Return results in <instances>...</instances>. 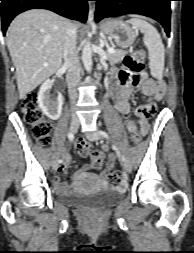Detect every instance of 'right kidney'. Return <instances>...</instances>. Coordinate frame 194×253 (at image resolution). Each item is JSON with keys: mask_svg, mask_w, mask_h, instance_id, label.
Here are the masks:
<instances>
[{"mask_svg": "<svg viewBox=\"0 0 194 253\" xmlns=\"http://www.w3.org/2000/svg\"><path fill=\"white\" fill-rule=\"evenodd\" d=\"M52 82L48 79L40 87L38 93V104L42 112L50 119L57 120L61 116L63 96L58 94L52 96L50 91Z\"/></svg>", "mask_w": 194, "mask_h": 253, "instance_id": "right-kidney-1", "label": "right kidney"}]
</instances>
